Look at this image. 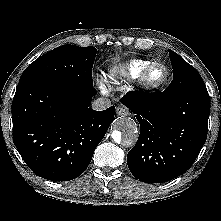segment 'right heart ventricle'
<instances>
[{
    "instance_id": "obj_1",
    "label": "right heart ventricle",
    "mask_w": 221,
    "mask_h": 221,
    "mask_svg": "<svg viewBox=\"0 0 221 221\" xmlns=\"http://www.w3.org/2000/svg\"><path fill=\"white\" fill-rule=\"evenodd\" d=\"M152 62L146 59H133L128 62L113 65L109 69L108 77L111 80H134L139 78L143 70Z\"/></svg>"
}]
</instances>
